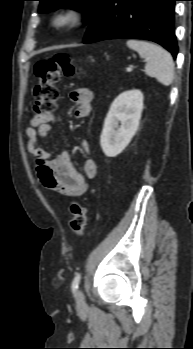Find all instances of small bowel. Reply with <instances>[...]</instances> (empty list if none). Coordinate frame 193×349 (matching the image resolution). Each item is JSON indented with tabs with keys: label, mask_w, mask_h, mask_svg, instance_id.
Returning a JSON list of instances; mask_svg holds the SVG:
<instances>
[{
	"label": "small bowel",
	"mask_w": 193,
	"mask_h": 349,
	"mask_svg": "<svg viewBox=\"0 0 193 349\" xmlns=\"http://www.w3.org/2000/svg\"><path fill=\"white\" fill-rule=\"evenodd\" d=\"M71 100L76 108L74 115L83 119L90 115L92 110L93 93L88 88H78L71 95ZM61 116L35 115L25 128L27 150L34 157V166L42 185L52 191L67 196L78 197L87 189V180L97 174V164L94 159L88 157L78 170L71 162L67 151L54 154L40 144V139L46 138L52 130V124L61 121ZM82 148L89 154V144L82 142Z\"/></svg>",
	"instance_id": "c3829d8e"
}]
</instances>
